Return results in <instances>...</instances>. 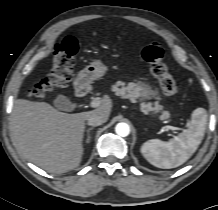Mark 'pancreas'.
Listing matches in <instances>:
<instances>
[{
	"mask_svg": "<svg viewBox=\"0 0 218 210\" xmlns=\"http://www.w3.org/2000/svg\"><path fill=\"white\" fill-rule=\"evenodd\" d=\"M112 90L117 96L129 99L131 102H137V99H147L152 94V90L148 87V85L143 82H131L127 86H125L124 82L118 81L115 85H113ZM140 106L142 112H144L145 114H148L150 111L158 112L163 109V106L159 105L157 102L154 103V106H152V103L142 102ZM169 116L170 114L168 111H162V115L160 118L165 119Z\"/></svg>",
	"mask_w": 218,
	"mask_h": 210,
	"instance_id": "obj_1",
	"label": "pancreas"
}]
</instances>
